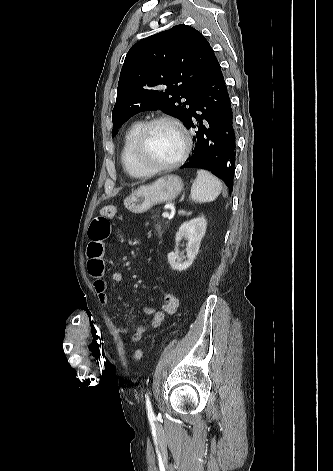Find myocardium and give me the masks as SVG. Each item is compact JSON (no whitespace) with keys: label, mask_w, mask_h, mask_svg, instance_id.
<instances>
[{"label":"myocardium","mask_w":333,"mask_h":471,"mask_svg":"<svg viewBox=\"0 0 333 471\" xmlns=\"http://www.w3.org/2000/svg\"><path fill=\"white\" fill-rule=\"evenodd\" d=\"M169 124L173 126L179 133L182 139V150L180 155L172 162L166 164H154L147 160V142L151 129L158 124ZM192 147V141L186 128L175 118L170 116H157L146 121L135 140L134 144V159L139 168L147 174L169 171L179 167L187 159Z\"/></svg>","instance_id":"f54148a6"}]
</instances>
